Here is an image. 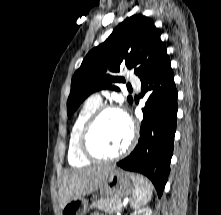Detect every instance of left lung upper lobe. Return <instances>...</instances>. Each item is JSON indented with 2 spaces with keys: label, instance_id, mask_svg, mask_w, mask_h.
I'll use <instances>...</instances> for the list:
<instances>
[{
  "label": "left lung upper lobe",
  "instance_id": "obj_1",
  "mask_svg": "<svg viewBox=\"0 0 221 215\" xmlns=\"http://www.w3.org/2000/svg\"><path fill=\"white\" fill-rule=\"evenodd\" d=\"M154 22L136 14L120 23L112 34L93 48L84 58L71 81L67 101L68 117L91 93L112 89L119 91L116 83L125 82L120 70H134L140 77L151 65L158 52L165 47ZM132 102V98L128 97Z\"/></svg>",
  "mask_w": 221,
  "mask_h": 215
}]
</instances>
